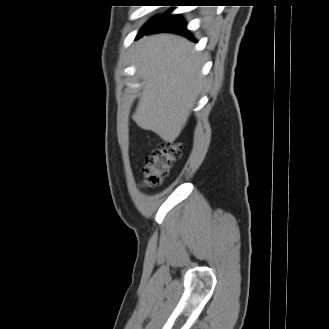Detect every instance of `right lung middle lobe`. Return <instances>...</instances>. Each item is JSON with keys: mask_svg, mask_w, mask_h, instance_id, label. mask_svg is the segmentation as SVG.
<instances>
[{"mask_svg": "<svg viewBox=\"0 0 329 329\" xmlns=\"http://www.w3.org/2000/svg\"><path fill=\"white\" fill-rule=\"evenodd\" d=\"M159 18V16H157V17H155V18H153V19H151L144 27H146V26H149V25H151V24H153L157 19Z\"/></svg>", "mask_w": 329, "mask_h": 329, "instance_id": "1", "label": "right lung middle lobe"}]
</instances>
